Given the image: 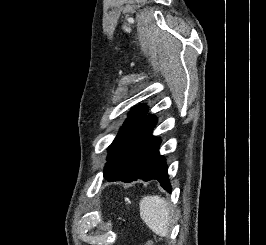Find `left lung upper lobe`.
<instances>
[{"instance_id":"1","label":"left lung upper lobe","mask_w":266,"mask_h":245,"mask_svg":"<svg viewBox=\"0 0 266 245\" xmlns=\"http://www.w3.org/2000/svg\"><path fill=\"white\" fill-rule=\"evenodd\" d=\"M157 123L155 116L147 115V108H135L120 129L117 137L110 145L104 177L111 178L123 175L133 165L139 146L145 136Z\"/></svg>"}]
</instances>
